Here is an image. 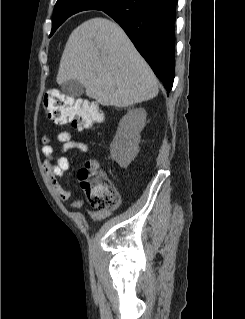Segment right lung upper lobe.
<instances>
[{
    "label": "right lung upper lobe",
    "mask_w": 245,
    "mask_h": 319,
    "mask_svg": "<svg viewBox=\"0 0 245 319\" xmlns=\"http://www.w3.org/2000/svg\"><path fill=\"white\" fill-rule=\"evenodd\" d=\"M57 1H60V0H57ZM66 1L72 2L71 8H70V16L77 13V12L82 11V8L79 5L83 0H66ZM104 9H107V8H104ZM104 9H102V10H104Z\"/></svg>",
    "instance_id": "cb5924a9"
}]
</instances>
